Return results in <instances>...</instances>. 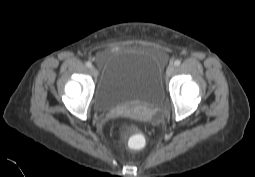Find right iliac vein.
Returning a JSON list of instances; mask_svg holds the SVG:
<instances>
[{
	"label": "right iliac vein",
	"mask_w": 255,
	"mask_h": 177,
	"mask_svg": "<svg viewBox=\"0 0 255 177\" xmlns=\"http://www.w3.org/2000/svg\"><path fill=\"white\" fill-rule=\"evenodd\" d=\"M90 72H91L93 77L96 78L98 76V71H97V69L95 67H91L90 68Z\"/></svg>",
	"instance_id": "1"
}]
</instances>
